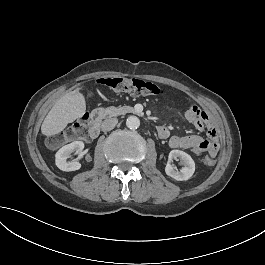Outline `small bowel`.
Segmentation results:
<instances>
[{
    "mask_svg": "<svg viewBox=\"0 0 265 265\" xmlns=\"http://www.w3.org/2000/svg\"><path fill=\"white\" fill-rule=\"evenodd\" d=\"M186 118L199 130L206 127L209 139L198 135L170 136L169 130L165 127L158 128V136L161 133L162 136H159L161 139H168V144L173 149H188L197 155L207 151L215 156L218 151L217 132L210 117L198 106L193 105L187 110Z\"/></svg>",
    "mask_w": 265,
    "mask_h": 265,
    "instance_id": "obj_1",
    "label": "small bowel"
}]
</instances>
